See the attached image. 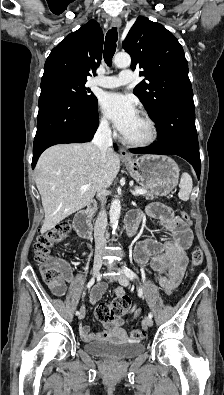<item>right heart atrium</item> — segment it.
Masks as SVG:
<instances>
[{
    "instance_id": "d8ad5b80",
    "label": "right heart atrium",
    "mask_w": 224,
    "mask_h": 395,
    "mask_svg": "<svg viewBox=\"0 0 224 395\" xmlns=\"http://www.w3.org/2000/svg\"><path fill=\"white\" fill-rule=\"evenodd\" d=\"M98 126L102 131L109 130V122L104 116H100L98 120Z\"/></svg>"
}]
</instances>
